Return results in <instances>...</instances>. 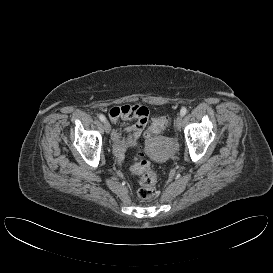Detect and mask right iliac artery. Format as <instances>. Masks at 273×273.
Instances as JSON below:
<instances>
[{
  "label": "right iliac artery",
  "instance_id": "right-iliac-artery-1",
  "mask_svg": "<svg viewBox=\"0 0 273 273\" xmlns=\"http://www.w3.org/2000/svg\"><path fill=\"white\" fill-rule=\"evenodd\" d=\"M99 119H100L102 122L106 121L105 116H104V115H102V114H100V115H99Z\"/></svg>",
  "mask_w": 273,
  "mask_h": 273
}]
</instances>
